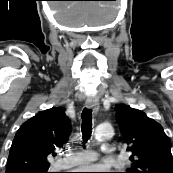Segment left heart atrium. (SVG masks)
Wrapping results in <instances>:
<instances>
[{"label": "left heart atrium", "mask_w": 173, "mask_h": 173, "mask_svg": "<svg viewBox=\"0 0 173 173\" xmlns=\"http://www.w3.org/2000/svg\"><path fill=\"white\" fill-rule=\"evenodd\" d=\"M83 173H108L109 168L102 164H94L91 166L81 168Z\"/></svg>", "instance_id": "left-heart-atrium-1"}]
</instances>
